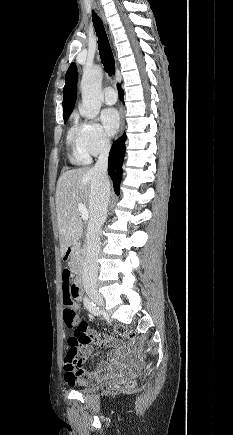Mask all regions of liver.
Masks as SVG:
<instances>
[{
	"label": "liver",
	"mask_w": 233,
	"mask_h": 435,
	"mask_svg": "<svg viewBox=\"0 0 233 435\" xmlns=\"http://www.w3.org/2000/svg\"><path fill=\"white\" fill-rule=\"evenodd\" d=\"M92 177L91 168L81 167L63 172L58 179L55 202L61 256L82 235L83 223L78 204L83 203L90 213Z\"/></svg>",
	"instance_id": "6515ba94"
}]
</instances>
